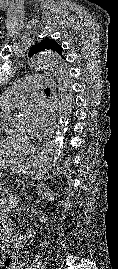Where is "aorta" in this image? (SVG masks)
I'll use <instances>...</instances> for the list:
<instances>
[{
  "mask_svg": "<svg viewBox=\"0 0 118 269\" xmlns=\"http://www.w3.org/2000/svg\"><path fill=\"white\" fill-rule=\"evenodd\" d=\"M29 67L31 70L50 69L57 77L60 98V117L56 135L53 141L35 160L32 168V175L41 177L46 175L53 168L61 156L73 102L72 78L67 64L60 56L52 52L45 51L35 54L29 60ZM18 123L19 119L16 116H11L2 122V127L5 129H14L17 127Z\"/></svg>",
  "mask_w": 118,
  "mask_h": 269,
  "instance_id": "762f6f07",
  "label": "aorta"
}]
</instances>
